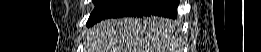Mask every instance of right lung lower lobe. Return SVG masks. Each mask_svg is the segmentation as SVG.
<instances>
[{"label":"right lung lower lobe","instance_id":"1","mask_svg":"<svg viewBox=\"0 0 261 52\" xmlns=\"http://www.w3.org/2000/svg\"><path fill=\"white\" fill-rule=\"evenodd\" d=\"M178 0H106L91 13L88 25H93L110 17L162 16L177 17Z\"/></svg>","mask_w":261,"mask_h":52}]
</instances>
